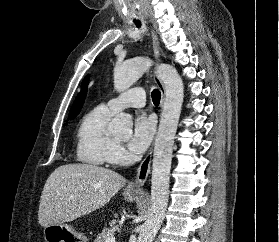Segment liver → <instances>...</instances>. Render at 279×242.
Instances as JSON below:
<instances>
[{"label": "liver", "instance_id": "obj_1", "mask_svg": "<svg viewBox=\"0 0 279 242\" xmlns=\"http://www.w3.org/2000/svg\"><path fill=\"white\" fill-rule=\"evenodd\" d=\"M125 184L122 175L103 167L59 166L44 185L38 222L46 227L73 221L104 206Z\"/></svg>", "mask_w": 279, "mask_h": 242}]
</instances>
